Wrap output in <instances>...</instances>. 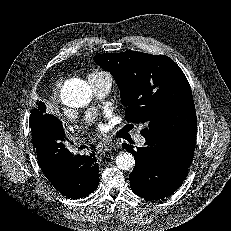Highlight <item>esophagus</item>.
Here are the masks:
<instances>
[{
  "label": "esophagus",
  "instance_id": "34e87169",
  "mask_svg": "<svg viewBox=\"0 0 231 231\" xmlns=\"http://www.w3.org/2000/svg\"><path fill=\"white\" fill-rule=\"evenodd\" d=\"M100 145L105 151H110L113 148H115L114 142L112 140H108V139L101 141Z\"/></svg>",
  "mask_w": 231,
  "mask_h": 231
}]
</instances>
